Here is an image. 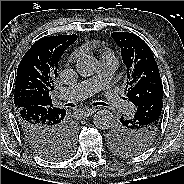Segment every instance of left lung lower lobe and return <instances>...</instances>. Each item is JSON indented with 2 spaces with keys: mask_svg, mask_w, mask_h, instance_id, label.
<instances>
[{
  "mask_svg": "<svg viewBox=\"0 0 184 184\" xmlns=\"http://www.w3.org/2000/svg\"><path fill=\"white\" fill-rule=\"evenodd\" d=\"M162 99L163 98H157L156 100L151 99V101H146L138 105L134 117L132 119H127L126 121L135 120L136 122L142 124L144 122H150V120L157 118V116L161 114L162 111Z\"/></svg>",
  "mask_w": 184,
  "mask_h": 184,
  "instance_id": "1",
  "label": "left lung lower lobe"
}]
</instances>
